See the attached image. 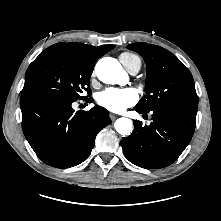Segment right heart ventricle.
<instances>
[{
    "label": "right heart ventricle",
    "instance_id": "e07e8e85",
    "mask_svg": "<svg viewBox=\"0 0 221 221\" xmlns=\"http://www.w3.org/2000/svg\"><path fill=\"white\" fill-rule=\"evenodd\" d=\"M140 60L139 57L133 53L124 52L120 55L121 63L127 68L133 61Z\"/></svg>",
    "mask_w": 221,
    "mask_h": 221
}]
</instances>
